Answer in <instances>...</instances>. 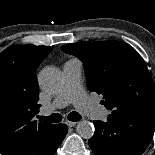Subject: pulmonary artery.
I'll return each mask as SVG.
<instances>
[{
	"label": "pulmonary artery",
	"mask_w": 155,
	"mask_h": 155,
	"mask_svg": "<svg viewBox=\"0 0 155 155\" xmlns=\"http://www.w3.org/2000/svg\"><path fill=\"white\" fill-rule=\"evenodd\" d=\"M83 66L79 60L70 59L63 65V84L51 105L42 108L47 115L57 108L73 104L82 114L91 119H106L109 112L85 93L82 85Z\"/></svg>",
	"instance_id": "e3ab8cb5"
}]
</instances>
